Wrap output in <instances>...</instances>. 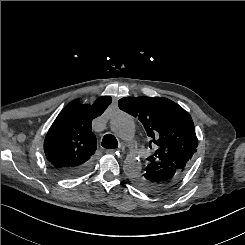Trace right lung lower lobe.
Listing matches in <instances>:
<instances>
[{"instance_id": "1", "label": "right lung lower lobe", "mask_w": 245, "mask_h": 245, "mask_svg": "<svg viewBox=\"0 0 245 245\" xmlns=\"http://www.w3.org/2000/svg\"><path fill=\"white\" fill-rule=\"evenodd\" d=\"M92 166V161L75 168L54 169L59 175L66 178H76L86 174Z\"/></svg>"}]
</instances>
